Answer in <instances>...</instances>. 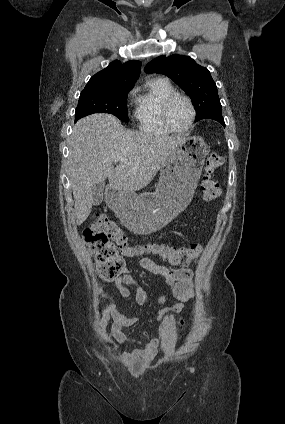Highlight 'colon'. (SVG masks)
Returning a JSON list of instances; mask_svg holds the SVG:
<instances>
[{
    "instance_id": "obj_1",
    "label": "colon",
    "mask_w": 285,
    "mask_h": 424,
    "mask_svg": "<svg viewBox=\"0 0 285 424\" xmlns=\"http://www.w3.org/2000/svg\"><path fill=\"white\" fill-rule=\"evenodd\" d=\"M223 162V157L218 153L207 154L205 173L200 184L205 200H215L221 195L220 185L213 174L223 165ZM83 240L96 259L99 274L106 279H113L123 272L124 258L153 254L173 265H187L198 260L203 251L200 244L131 245L123 230L103 214L97 215L93 223L83 231Z\"/></svg>"
}]
</instances>
